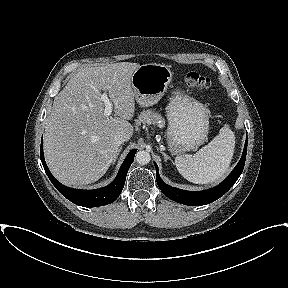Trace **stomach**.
I'll return each instance as SVG.
<instances>
[{
    "mask_svg": "<svg viewBox=\"0 0 288 288\" xmlns=\"http://www.w3.org/2000/svg\"><path fill=\"white\" fill-rule=\"evenodd\" d=\"M173 72L165 64L139 66L131 77L135 99L141 107L156 104L172 81ZM167 143L172 154L191 151L202 145L209 133V116L204 105L194 98L175 91L166 107Z\"/></svg>",
    "mask_w": 288,
    "mask_h": 288,
    "instance_id": "1",
    "label": "stomach"
}]
</instances>
